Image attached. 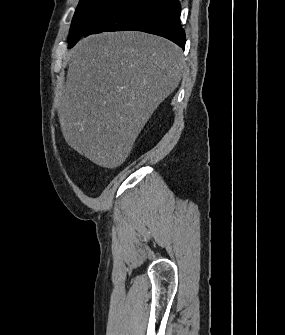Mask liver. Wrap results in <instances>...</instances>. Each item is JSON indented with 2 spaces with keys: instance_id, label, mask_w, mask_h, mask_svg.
<instances>
[{
  "instance_id": "liver-1",
  "label": "liver",
  "mask_w": 285,
  "mask_h": 335,
  "mask_svg": "<svg viewBox=\"0 0 285 335\" xmlns=\"http://www.w3.org/2000/svg\"><path fill=\"white\" fill-rule=\"evenodd\" d=\"M182 50L142 32L83 38L70 56L58 118L70 148L102 168H118L161 102L176 90Z\"/></svg>"
}]
</instances>
